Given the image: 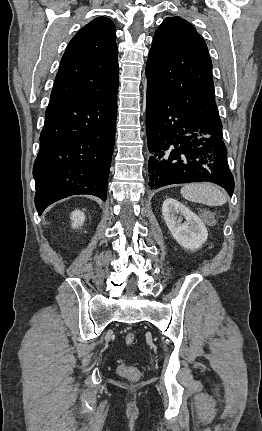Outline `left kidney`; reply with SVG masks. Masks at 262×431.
I'll return each mask as SVG.
<instances>
[{
	"mask_svg": "<svg viewBox=\"0 0 262 431\" xmlns=\"http://www.w3.org/2000/svg\"><path fill=\"white\" fill-rule=\"evenodd\" d=\"M162 215L171 235L182 247L189 250L199 249L207 240L208 232L202 220L177 200L166 199L162 206Z\"/></svg>",
	"mask_w": 262,
	"mask_h": 431,
	"instance_id": "obj_1",
	"label": "left kidney"
}]
</instances>
